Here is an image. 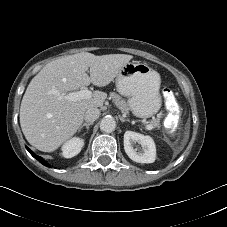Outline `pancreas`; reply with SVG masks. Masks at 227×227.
<instances>
[{
    "label": "pancreas",
    "mask_w": 227,
    "mask_h": 227,
    "mask_svg": "<svg viewBox=\"0 0 227 227\" xmlns=\"http://www.w3.org/2000/svg\"><path fill=\"white\" fill-rule=\"evenodd\" d=\"M110 98H112L113 102L116 104V106L121 110L123 114H128L129 113V106L128 103L123 100L119 95L116 93H111ZM159 119H154L152 121V125L154 127H159Z\"/></svg>",
    "instance_id": "1"
}]
</instances>
